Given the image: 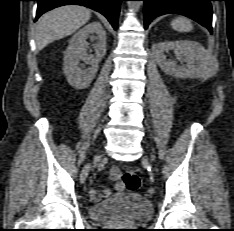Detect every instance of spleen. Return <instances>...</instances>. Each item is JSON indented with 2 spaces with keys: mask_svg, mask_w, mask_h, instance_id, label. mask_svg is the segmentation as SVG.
<instances>
[{
  "mask_svg": "<svg viewBox=\"0 0 234 231\" xmlns=\"http://www.w3.org/2000/svg\"><path fill=\"white\" fill-rule=\"evenodd\" d=\"M171 27L179 32H190L193 29V25L186 17H177L172 20Z\"/></svg>",
  "mask_w": 234,
  "mask_h": 231,
  "instance_id": "obj_1",
  "label": "spleen"
}]
</instances>
